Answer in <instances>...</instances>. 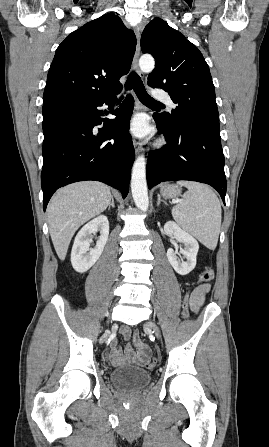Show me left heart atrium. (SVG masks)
Here are the masks:
<instances>
[{
    "label": "left heart atrium",
    "mask_w": 269,
    "mask_h": 447,
    "mask_svg": "<svg viewBox=\"0 0 269 447\" xmlns=\"http://www.w3.org/2000/svg\"><path fill=\"white\" fill-rule=\"evenodd\" d=\"M129 129L135 136L138 137L145 136L151 131L145 118L141 114H136L131 118L129 122Z\"/></svg>",
    "instance_id": "39dd6f15"
}]
</instances>
